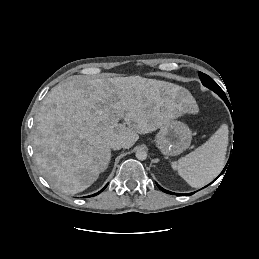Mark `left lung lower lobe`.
I'll return each mask as SVG.
<instances>
[{"mask_svg":"<svg viewBox=\"0 0 259 259\" xmlns=\"http://www.w3.org/2000/svg\"><path fill=\"white\" fill-rule=\"evenodd\" d=\"M218 95H219V96L225 101V103L228 105V99H227L225 93H224V92H220V93H218ZM226 166H227V165H226ZM225 169H226V167L224 168V170L222 171V173L225 171ZM222 173H221V174H222ZM221 174H220V175H221ZM156 184H157V183H156ZM157 186H158L163 192H166V193H168V194L181 195V194L172 193V192H170V191H167V190L163 189L162 187H160L158 184H157ZM191 194H193V193L184 194V195L188 196V195H191Z\"/></svg>","mask_w":259,"mask_h":259,"instance_id":"left-lung-lower-lobe-1","label":"left lung lower lobe"}]
</instances>
